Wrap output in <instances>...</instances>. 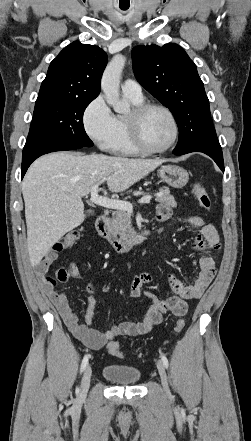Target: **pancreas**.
Instances as JSON below:
<instances>
[{
  "label": "pancreas",
  "instance_id": "pancreas-1",
  "mask_svg": "<svg viewBox=\"0 0 251 441\" xmlns=\"http://www.w3.org/2000/svg\"><path fill=\"white\" fill-rule=\"evenodd\" d=\"M159 192L161 195L156 197L155 200L157 202L171 208L177 207V203L174 200V197L170 194L168 187L160 188ZM112 215L109 231L115 236L119 235L121 239H128L133 234L130 215L123 210H117L113 212Z\"/></svg>",
  "mask_w": 251,
  "mask_h": 441
}]
</instances>
